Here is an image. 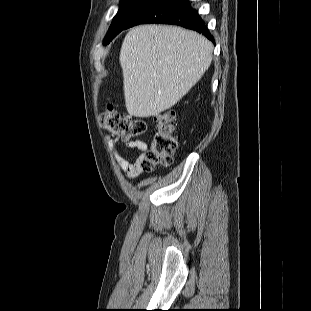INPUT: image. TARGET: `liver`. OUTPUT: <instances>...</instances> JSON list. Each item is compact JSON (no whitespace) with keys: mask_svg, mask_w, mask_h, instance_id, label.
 I'll list each match as a JSON object with an SVG mask.
<instances>
[{"mask_svg":"<svg viewBox=\"0 0 311 311\" xmlns=\"http://www.w3.org/2000/svg\"><path fill=\"white\" fill-rule=\"evenodd\" d=\"M212 52L204 36L180 27L131 29L119 57L128 113L146 118L174 106L209 68Z\"/></svg>","mask_w":311,"mask_h":311,"instance_id":"liver-1","label":"liver"}]
</instances>
